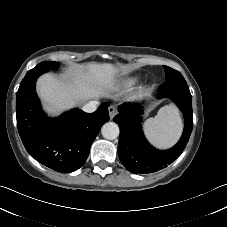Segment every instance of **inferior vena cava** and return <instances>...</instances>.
I'll list each match as a JSON object with an SVG mask.
<instances>
[{"label": "inferior vena cava", "mask_w": 227, "mask_h": 227, "mask_svg": "<svg viewBox=\"0 0 227 227\" xmlns=\"http://www.w3.org/2000/svg\"><path fill=\"white\" fill-rule=\"evenodd\" d=\"M98 105H99V102L96 100L89 101L82 107V110L86 113H92L97 109Z\"/></svg>", "instance_id": "obj_1"}]
</instances>
